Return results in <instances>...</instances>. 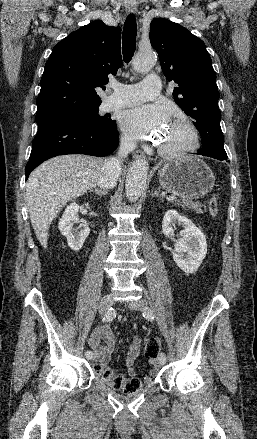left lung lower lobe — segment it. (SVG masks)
<instances>
[{
	"label": "left lung lower lobe",
	"instance_id": "left-lung-lower-lobe-1",
	"mask_svg": "<svg viewBox=\"0 0 257 439\" xmlns=\"http://www.w3.org/2000/svg\"><path fill=\"white\" fill-rule=\"evenodd\" d=\"M199 155H203V154H201V153H198ZM203 156H206V155H203ZM209 157V156H208ZM212 158H215V159H218V160H227V155L226 156H216V157H212Z\"/></svg>",
	"mask_w": 257,
	"mask_h": 439
}]
</instances>
